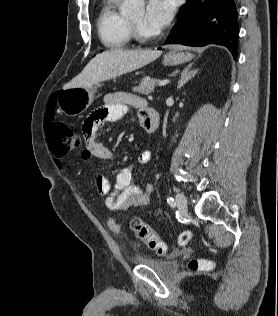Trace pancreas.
Listing matches in <instances>:
<instances>
[{
    "instance_id": "cf45deb5",
    "label": "pancreas",
    "mask_w": 278,
    "mask_h": 316,
    "mask_svg": "<svg viewBox=\"0 0 278 316\" xmlns=\"http://www.w3.org/2000/svg\"><path fill=\"white\" fill-rule=\"evenodd\" d=\"M158 82L159 80L157 79H151L149 77H145L144 79H142L139 86L134 88V92L148 95L154 91V88Z\"/></svg>"
}]
</instances>
